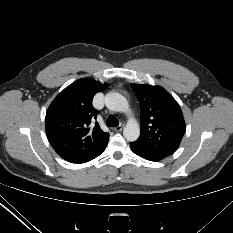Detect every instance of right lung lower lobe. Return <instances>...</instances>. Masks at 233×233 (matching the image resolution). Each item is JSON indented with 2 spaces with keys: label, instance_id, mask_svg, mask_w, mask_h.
<instances>
[{
  "label": "right lung lower lobe",
  "instance_id": "98d812e1",
  "mask_svg": "<svg viewBox=\"0 0 233 233\" xmlns=\"http://www.w3.org/2000/svg\"><path fill=\"white\" fill-rule=\"evenodd\" d=\"M106 146H107V144H106L100 151H98L95 155H93L92 157H90L89 159H87L86 161H84V162H82V163H85V162H87V161H90V160L96 158L97 156H99L100 154H102V153L104 152Z\"/></svg>",
  "mask_w": 233,
  "mask_h": 233
}]
</instances>
